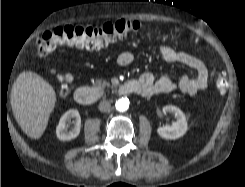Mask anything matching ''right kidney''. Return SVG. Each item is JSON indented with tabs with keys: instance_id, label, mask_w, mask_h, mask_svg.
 <instances>
[{
	"instance_id": "obj_1",
	"label": "right kidney",
	"mask_w": 245,
	"mask_h": 187,
	"mask_svg": "<svg viewBox=\"0 0 245 187\" xmlns=\"http://www.w3.org/2000/svg\"><path fill=\"white\" fill-rule=\"evenodd\" d=\"M74 119V128L70 131L67 130V122ZM81 118L78 110L70 109L64 113L60 118L59 124L56 127L57 138L61 141H69L76 138L80 133Z\"/></svg>"
}]
</instances>
